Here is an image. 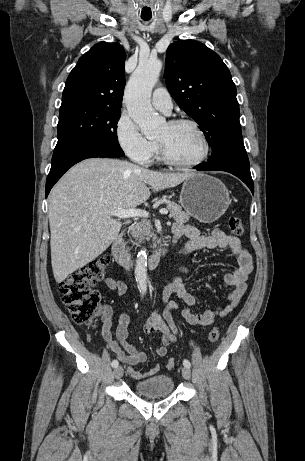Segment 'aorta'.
<instances>
[{
	"label": "aorta",
	"instance_id": "obj_1",
	"mask_svg": "<svg viewBox=\"0 0 305 461\" xmlns=\"http://www.w3.org/2000/svg\"><path fill=\"white\" fill-rule=\"evenodd\" d=\"M161 69L162 62L158 59L140 62L125 89L124 99L128 114L147 138L158 136L166 122L164 117L154 111L150 103L151 92L158 81ZM135 279L140 294H146L147 252L145 249L138 252Z\"/></svg>",
	"mask_w": 305,
	"mask_h": 461
}]
</instances>
